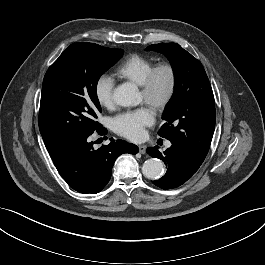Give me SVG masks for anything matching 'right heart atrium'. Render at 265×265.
<instances>
[{
    "label": "right heart atrium",
    "mask_w": 265,
    "mask_h": 265,
    "mask_svg": "<svg viewBox=\"0 0 265 265\" xmlns=\"http://www.w3.org/2000/svg\"><path fill=\"white\" fill-rule=\"evenodd\" d=\"M114 87L113 78L107 74L98 76L94 83V95L98 104L104 108H111L114 104Z\"/></svg>",
    "instance_id": "right-heart-atrium-1"
}]
</instances>
